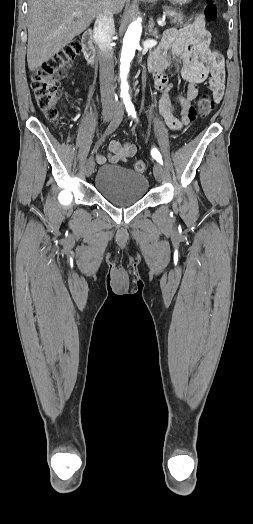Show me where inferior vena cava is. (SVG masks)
I'll return each instance as SVG.
<instances>
[{"mask_svg": "<svg viewBox=\"0 0 253 524\" xmlns=\"http://www.w3.org/2000/svg\"><path fill=\"white\" fill-rule=\"evenodd\" d=\"M114 32L113 13L109 8H105L97 15L94 25V39L98 45L100 64V90L105 106L117 104L114 86V52L111 46Z\"/></svg>", "mask_w": 253, "mask_h": 524, "instance_id": "inferior-vena-cava-1", "label": "inferior vena cava"}]
</instances>
